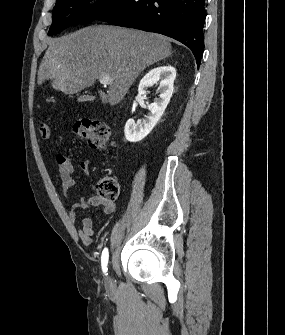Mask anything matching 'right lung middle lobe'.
<instances>
[{"label": "right lung middle lobe", "instance_id": "dd1d6c3e", "mask_svg": "<svg viewBox=\"0 0 285 335\" xmlns=\"http://www.w3.org/2000/svg\"><path fill=\"white\" fill-rule=\"evenodd\" d=\"M91 0H58L53 10L52 25L48 35L60 33L75 24L88 23L114 7L120 0H100L87 6Z\"/></svg>", "mask_w": 285, "mask_h": 335}]
</instances>
